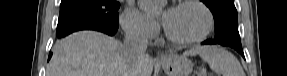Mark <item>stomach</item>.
I'll list each match as a JSON object with an SVG mask.
<instances>
[{"label": "stomach", "instance_id": "stomach-1", "mask_svg": "<svg viewBox=\"0 0 287 76\" xmlns=\"http://www.w3.org/2000/svg\"><path fill=\"white\" fill-rule=\"evenodd\" d=\"M161 64L168 76H189L193 69L191 60L186 56L168 55Z\"/></svg>", "mask_w": 287, "mask_h": 76}]
</instances>
